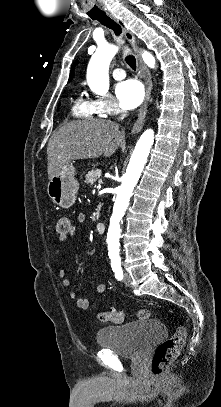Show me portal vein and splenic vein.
Listing matches in <instances>:
<instances>
[{
    "label": "portal vein and splenic vein",
    "instance_id": "portal-vein-and-splenic-vein-1",
    "mask_svg": "<svg viewBox=\"0 0 221 407\" xmlns=\"http://www.w3.org/2000/svg\"><path fill=\"white\" fill-rule=\"evenodd\" d=\"M98 182H99V183H102V179H99Z\"/></svg>",
    "mask_w": 221,
    "mask_h": 407
}]
</instances>
